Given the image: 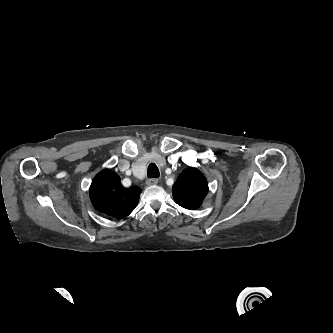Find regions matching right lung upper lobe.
<instances>
[{
    "label": "right lung upper lobe",
    "mask_w": 333,
    "mask_h": 333,
    "mask_svg": "<svg viewBox=\"0 0 333 333\" xmlns=\"http://www.w3.org/2000/svg\"><path fill=\"white\" fill-rule=\"evenodd\" d=\"M89 193L96 210L122 219L137 206L141 189L138 186L123 187L120 177L113 171L105 169L94 177Z\"/></svg>",
    "instance_id": "right-lung-upper-lobe-1"
}]
</instances>
